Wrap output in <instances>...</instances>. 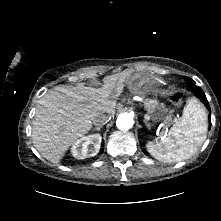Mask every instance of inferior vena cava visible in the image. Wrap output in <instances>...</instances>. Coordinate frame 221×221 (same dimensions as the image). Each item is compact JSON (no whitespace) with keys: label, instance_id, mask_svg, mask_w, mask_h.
Instances as JSON below:
<instances>
[{"label":"inferior vena cava","instance_id":"1","mask_svg":"<svg viewBox=\"0 0 221 221\" xmlns=\"http://www.w3.org/2000/svg\"><path fill=\"white\" fill-rule=\"evenodd\" d=\"M110 120V116L107 114H100L98 115L94 120L93 123L96 126H102L105 125Z\"/></svg>","mask_w":221,"mask_h":221}]
</instances>
